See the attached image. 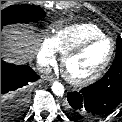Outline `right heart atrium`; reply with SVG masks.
Segmentation results:
<instances>
[{"label":"right heart atrium","mask_w":122,"mask_h":122,"mask_svg":"<svg viewBox=\"0 0 122 122\" xmlns=\"http://www.w3.org/2000/svg\"><path fill=\"white\" fill-rule=\"evenodd\" d=\"M56 52L57 51L53 45L52 39L49 37H46L43 40L41 47L39 49L38 55H37L39 64L43 68H47L51 66L52 64H54L56 61Z\"/></svg>","instance_id":"d8ad5b80"}]
</instances>
